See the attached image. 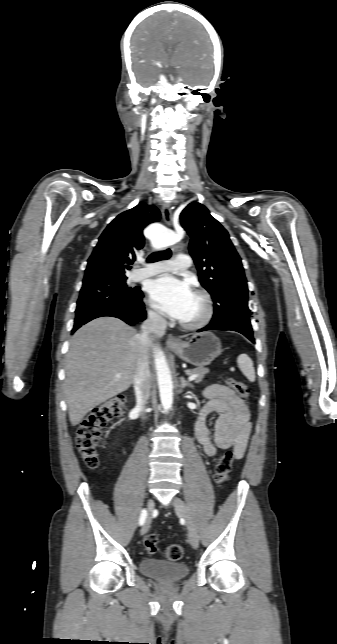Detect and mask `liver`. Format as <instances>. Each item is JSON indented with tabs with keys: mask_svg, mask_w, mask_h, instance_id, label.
I'll return each mask as SVG.
<instances>
[{
	"mask_svg": "<svg viewBox=\"0 0 337 644\" xmlns=\"http://www.w3.org/2000/svg\"><path fill=\"white\" fill-rule=\"evenodd\" d=\"M141 353L140 334L117 318L100 317L75 332L65 358L64 388L73 426L131 386Z\"/></svg>",
	"mask_w": 337,
	"mask_h": 644,
	"instance_id": "1",
	"label": "liver"
}]
</instances>
